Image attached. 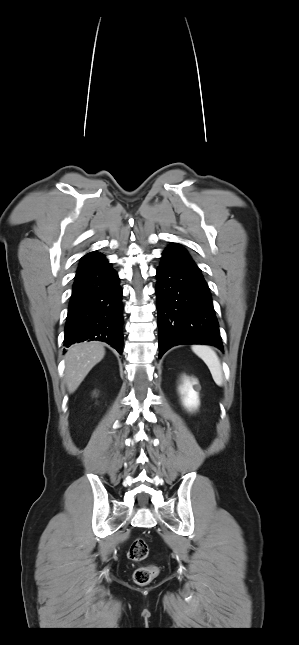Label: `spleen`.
I'll list each match as a JSON object with an SVG mask.
<instances>
[{
  "label": "spleen",
  "mask_w": 299,
  "mask_h": 645,
  "mask_svg": "<svg viewBox=\"0 0 299 645\" xmlns=\"http://www.w3.org/2000/svg\"><path fill=\"white\" fill-rule=\"evenodd\" d=\"M193 352L199 356L205 364L208 366L214 382L218 386L223 384V373L220 360L215 353V351L206 345H195L192 346Z\"/></svg>",
  "instance_id": "spleen-1"
}]
</instances>
